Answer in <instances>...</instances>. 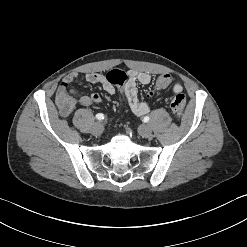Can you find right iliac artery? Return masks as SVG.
<instances>
[{"label":"right iliac artery","mask_w":247,"mask_h":247,"mask_svg":"<svg viewBox=\"0 0 247 247\" xmlns=\"http://www.w3.org/2000/svg\"><path fill=\"white\" fill-rule=\"evenodd\" d=\"M104 117H105V116H104L102 113H98V114L96 115V118H97L98 120H103Z\"/></svg>","instance_id":"right-iliac-artery-1"}]
</instances>
